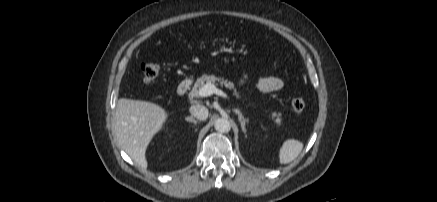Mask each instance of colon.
I'll return each instance as SVG.
<instances>
[{"label":"colon","instance_id":"5ec220e1","mask_svg":"<svg viewBox=\"0 0 437 202\" xmlns=\"http://www.w3.org/2000/svg\"><path fill=\"white\" fill-rule=\"evenodd\" d=\"M141 72L143 80L150 83L158 77L160 68L155 62H144L141 65ZM291 105L296 112H302L306 107V101L302 97H296L292 100Z\"/></svg>","mask_w":437,"mask_h":202}]
</instances>
